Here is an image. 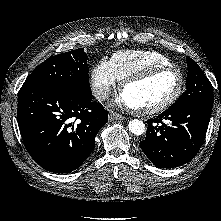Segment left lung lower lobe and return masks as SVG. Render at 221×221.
Wrapping results in <instances>:
<instances>
[{
	"label": "left lung lower lobe",
	"mask_w": 221,
	"mask_h": 221,
	"mask_svg": "<svg viewBox=\"0 0 221 221\" xmlns=\"http://www.w3.org/2000/svg\"><path fill=\"white\" fill-rule=\"evenodd\" d=\"M212 107L213 103L194 101L176 109L168 108L157 118L148 120L142 151L160 168L189 162L203 144Z\"/></svg>",
	"instance_id": "1"
}]
</instances>
